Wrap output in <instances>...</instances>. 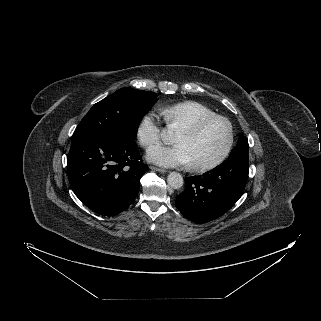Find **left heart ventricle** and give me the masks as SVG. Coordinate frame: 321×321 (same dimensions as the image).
Wrapping results in <instances>:
<instances>
[{
	"label": "left heart ventricle",
	"instance_id": "obj_1",
	"mask_svg": "<svg viewBox=\"0 0 321 321\" xmlns=\"http://www.w3.org/2000/svg\"><path fill=\"white\" fill-rule=\"evenodd\" d=\"M227 136L225 125L220 121H215L196 134L181 130L175 141L188 147L191 164H201L218 157L226 144Z\"/></svg>",
	"mask_w": 321,
	"mask_h": 321
}]
</instances>
